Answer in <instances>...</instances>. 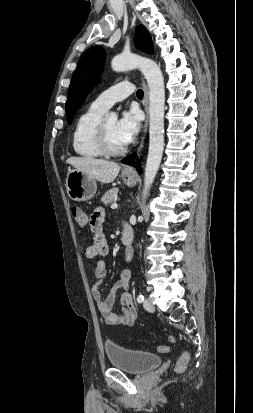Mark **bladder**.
<instances>
[{
    "mask_svg": "<svg viewBox=\"0 0 253 413\" xmlns=\"http://www.w3.org/2000/svg\"><path fill=\"white\" fill-rule=\"evenodd\" d=\"M105 354L109 363L130 374H145L162 363V358L154 353L129 349L115 343H105Z\"/></svg>",
    "mask_w": 253,
    "mask_h": 413,
    "instance_id": "bladder-1",
    "label": "bladder"
}]
</instances>
